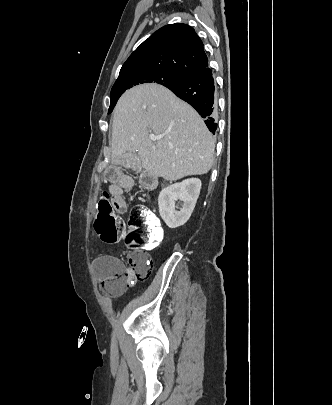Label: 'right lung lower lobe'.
Returning a JSON list of instances; mask_svg holds the SVG:
<instances>
[{"label": "right lung lower lobe", "mask_w": 332, "mask_h": 405, "mask_svg": "<svg viewBox=\"0 0 332 405\" xmlns=\"http://www.w3.org/2000/svg\"><path fill=\"white\" fill-rule=\"evenodd\" d=\"M215 87L212 71L208 66L167 86L179 98L194 107L203 118H206L204 122L213 134L217 128L213 118L217 109Z\"/></svg>", "instance_id": "1"}]
</instances>
